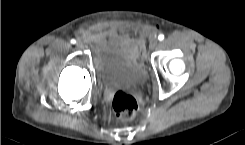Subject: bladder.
<instances>
[{"label": "bladder", "instance_id": "31cf9c89", "mask_svg": "<svg viewBox=\"0 0 245 145\" xmlns=\"http://www.w3.org/2000/svg\"><path fill=\"white\" fill-rule=\"evenodd\" d=\"M94 65L104 84L135 88L146 79L142 52L137 41L127 34H111L100 42Z\"/></svg>", "mask_w": 245, "mask_h": 145}]
</instances>
